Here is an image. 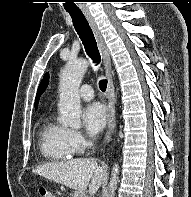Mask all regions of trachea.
<instances>
[{
  "label": "trachea",
  "instance_id": "obj_1",
  "mask_svg": "<svg viewBox=\"0 0 191 197\" xmlns=\"http://www.w3.org/2000/svg\"><path fill=\"white\" fill-rule=\"evenodd\" d=\"M69 14L72 18L74 28L84 45L87 55L92 59L93 63L99 64L101 60L100 53L93 31L87 19L83 13L69 12ZM99 88L101 91L105 92L107 88V80H100Z\"/></svg>",
  "mask_w": 191,
  "mask_h": 197
}]
</instances>
